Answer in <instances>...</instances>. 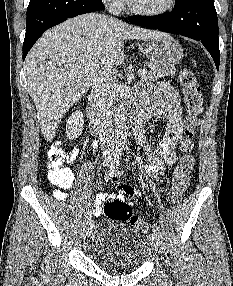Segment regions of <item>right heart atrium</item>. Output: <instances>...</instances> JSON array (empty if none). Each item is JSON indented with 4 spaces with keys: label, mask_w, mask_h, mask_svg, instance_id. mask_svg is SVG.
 Returning a JSON list of instances; mask_svg holds the SVG:
<instances>
[{
    "label": "right heart atrium",
    "mask_w": 233,
    "mask_h": 286,
    "mask_svg": "<svg viewBox=\"0 0 233 286\" xmlns=\"http://www.w3.org/2000/svg\"><path fill=\"white\" fill-rule=\"evenodd\" d=\"M104 1L110 2L113 8L119 7L123 2V0H104Z\"/></svg>",
    "instance_id": "obj_1"
}]
</instances>
